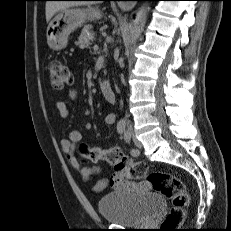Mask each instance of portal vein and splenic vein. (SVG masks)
<instances>
[{
  "mask_svg": "<svg viewBox=\"0 0 231 231\" xmlns=\"http://www.w3.org/2000/svg\"><path fill=\"white\" fill-rule=\"evenodd\" d=\"M93 49H94V51H98V49H99L98 45L95 44V45L93 46Z\"/></svg>",
  "mask_w": 231,
  "mask_h": 231,
  "instance_id": "obj_1",
  "label": "portal vein and splenic vein"
}]
</instances>
